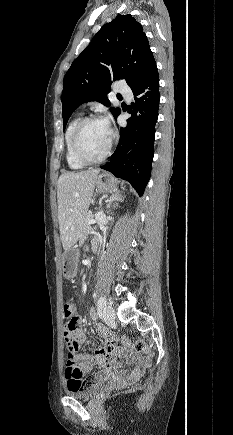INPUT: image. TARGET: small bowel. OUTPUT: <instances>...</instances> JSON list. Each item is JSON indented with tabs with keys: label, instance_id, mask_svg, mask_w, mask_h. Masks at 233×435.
Instances as JSON below:
<instances>
[{
	"label": "small bowel",
	"instance_id": "small-bowel-1",
	"mask_svg": "<svg viewBox=\"0 0 233 435\" xmlns=\"http://www.w3.org/2000/svg\"><path fill=\"white\" fill-rule=\"evenodd\" d=\"M73 310L76 311V307L74 304L70 303ZM89 317L95 323V329L98 336L101 338L102 344L105 346V343L108 341V333L106 328L97 321V314L95 310L91 309L89 311ZM86 341V334L83 329H79L78 331V344L83 345ZM126 357L129 368L127 369L131 375L137 374L140 370L148 366V360L139 356L137 353L133 352L130 349L125 347L117 346L112 352H106L105 349H100L96 352L95 355L89 354H79L77 355L78 362L80 367L90 372L93 367L97 364L101 365V369L99 372L93 375V378L99 379L104 376H108L113 374L119 370H121V365L118 362V358ZM64 376L67 380L68 384H76L78 380V372L75 367L67 366L64 372Z\"/></svg>",
	"mask_w": 233,
	"mask_h": 435
}]
</instances>
